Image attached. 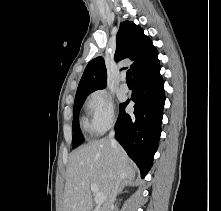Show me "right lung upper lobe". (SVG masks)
Masks as SVG:
<instances>
[{"mask_svg": "<svg viewBox=\"0 0 221 211\" xmlns=\"http://www.w3.org/2000/svg\"><path fill=\"white\" fill-rule=\"evenodd\" d=\"M115 61L128 58L133 61L130 69L133 78L138 74L149 70L159 63L158 52L149 37L143 30L131 21L120 24L116 37ZM107 82V71L102 57L91 60L79 82L76 97L89 95L91 92L103 89Z\"/></svg>", "mask_w": 221, "mask_h": 211, "instance_id": "obj_1", "label": "right lung upper lobe"}]
</instances>
